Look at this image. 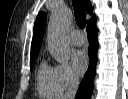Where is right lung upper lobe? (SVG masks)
<instances>
[{
    "label": "right lung upper lobe",
    "mask_w": 128,
    "mask_h": 99,
    "mask_svg": "<svg viewBox=\"0 0 128 99\" xmlns=\"http://www.w3.org/2000/svg\"><path fill=\"white\" fill-rule=\"evenodd\" d=\"M85 8L89 14H91V18L95 15L92 13L93 7L89 0H84ZM46 22V13L40 12L36 18L33 30V39L31 44V57L37 56L40 45L42 43L44 27Z\"/></svg>",
    "instance_id": "right-lung-upper-lobe-1"
}]
</instances>
